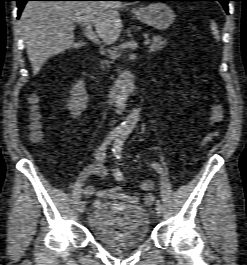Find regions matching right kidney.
<instances>
[{"label": "right kidney", "instance_id": "1", "mask_svg": "<svg viewBox=\"0 0 247 265\" xmlns=\"http://www.w3.org/2000/svg\"><path fill=\"white\" fill-rule=\"evenodd\" d=\"M88 103V95L83 80H78L71 89V96L67 107L71 111V117L78 119L85 110Z\"/></svg>", "mask_w": 247, "mask_h": 265}]
</instances>
